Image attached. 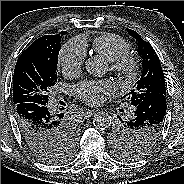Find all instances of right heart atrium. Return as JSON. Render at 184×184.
Listing matches in <instances>:
<instances>
[{
  "instance_id": "obj_1",
  "label": "right heart atrium",
  "mask_w": 184,
  "mask_h": 184,
  "mask_svg": "<svg viewBox=\"0 0 184 184\" xmlns=\"http://www.w3.org/2000/svg\"><path fill=\"white\" fill-rule=\"evenodd\" d=\"M86 57V47L80 38L69 40L60 50L59 64L67 74H78Z\"/></svg>"
}]
</instances>
